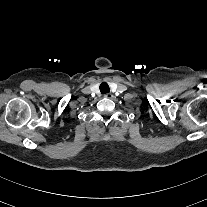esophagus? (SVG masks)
Wrapping results in <instances>:
<instances>
[{"label": "esophagus", "mask_w": 207, "mask_h": 207, "mask_svg": "<svg viewBox=\"0 0 207 207\" xmlns=\"http://www.w3.org/2000/svg\"><path fill=\"white\" fill-rule=\"evenodd\" d=\"M103 96L104 98H108V99H111L113 97L111 93H105Z\"/></svg>", "instance_id": "esophagus-1"}]
</instances>
